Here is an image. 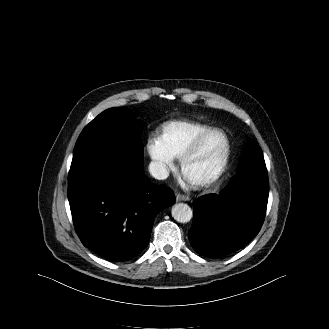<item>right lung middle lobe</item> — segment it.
I'll list each match as a JSON object with an SVG mask.
<instances>
[{"instance_id": "obj_1", "label": "right lung middle lobe", "mask_w": 329, "mask_h": 329, "mask_svg": "<svg viewBox=\"0 0 329 329\" xmlns=\"http://www.w3.org/2000/svg\"><path fill=\"white\" fill-rule=\"evenodd\" d=\"M132 117L126 110L111 108L93 119L76 142L69 174L99 160L141 169L142 124Z\"/></svg>"}]
</instances>
